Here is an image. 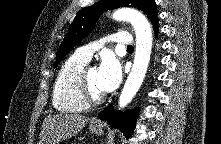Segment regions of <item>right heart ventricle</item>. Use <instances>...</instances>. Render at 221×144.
I'll return each mask as SVG.
<instances>
[{"mask_svg":"<svg viewBox=\"0 0 221 144\" xmlns=\"http://www.w3.org/2000/svg\"><path fill=\"white\" fill-rule=\"evenodd\" d=\"M87 62L75 53L61 65L52 93V103L56 110L78 113L88 108L89 105L82 100L78 87L79 75Z\"/></svg>","mask_w":221,"mask_h":144,"instance_id":"obj_1","label":"right heart ventricle"}]
</instances>
